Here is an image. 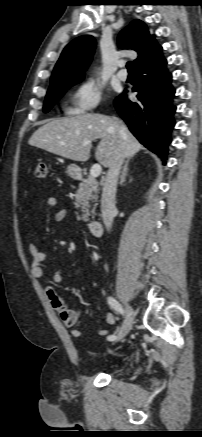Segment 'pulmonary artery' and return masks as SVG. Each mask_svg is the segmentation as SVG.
Wrapping results in <instances>:
<instances>
[{
    "mask_svg": "<svg viewBox=\"0 0 202 437\" xmlns=\"http://www.w3.org/2000/svg\"><path fill=\"white\" fill-rule=\"evenodd\" d=\"M119 67H120V69H119V71L117 72V77H118L120 80L125 81V80L128 78V73H127V71H126L125 69H123V67H124V62H120V63H119Z\"/></svg>",
    "mask_w": 202,
    "mask_h": 437,
    "instance_id": "obj_1",
    "label": "pulmonary artery"
}]
</instances>
